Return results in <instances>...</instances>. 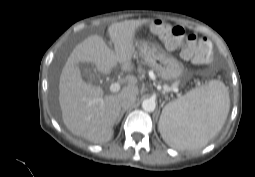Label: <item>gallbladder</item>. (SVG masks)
<instances>
[{"label": "gallbladder", "instance_id": "gallbladder-1", "mask_svg": "<svg viewBox=\"0 0 255 177\" xmlns=\"http://www.w3.org/2000/svg\"><path fill=\"white\" fill-rule=\"evenodd\" d=\"M83 74L84 76L92 83H97V78L95 77V70H92L90 68H83Z\"/></svg>", "mask_w": 255, "mask_h": 177}]
</instances>
